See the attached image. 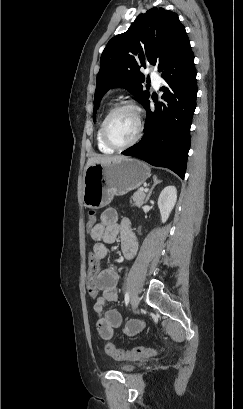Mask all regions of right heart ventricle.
<instances>
[{"label": "right heart ventricle", "instance_id": "obj_1", "mask_svg": "<svg viewBox=\"0 0 243 409\" xmlns=\"http://www.w3.org/2000/svg\"><path fill=\"white\" fill-rule=\"evenodd\" d=\"M102 123H103V120L100 122L97 132H96L97 147L100 152L105 153V154H111L114 152V149L107 146L102 139V134H101Z\"/></svg>", "mask_w": 243, "mask_h": 409}]
</instances>
